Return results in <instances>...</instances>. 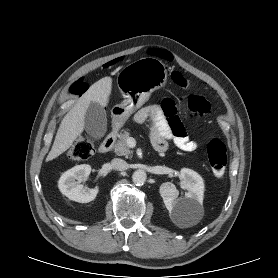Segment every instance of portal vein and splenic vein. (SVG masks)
<instances>
[{"instance_id": "18ae733b", "label": "portal vein and splenic vein", "mask_w": 278, "mask_h": 278, "mask_svg": "<svg viewBox=\"0 0 278 278\" xmlns=\"http://www.w3.org/2000/svg\"><path fill=\"white\" fill-rule=\"evenodd\" d=\"M129 141L135 142V140L132 137L129 138Z\"/></svg>"}]
</instances>
